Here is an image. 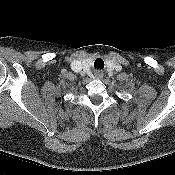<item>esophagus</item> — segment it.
Returning <instances> with one entry per match:
<instances>
[{
    "label": "esophagus",
    "instance_id": "esophagus-1",
    "mask_svg": "<svg viewBox=\"0 0 175 175\" xmlns=\"http://www.w3.org/2000/svg\"><path fill=\"white\" fill-rule=\"evenodd\" d=\"M95 76H96V78L100 79V78H102V73L100 71H97L95 73Z\"/></svg>",
    "mask_w": 175,
    "mask_h": 175
}]
</instances>
